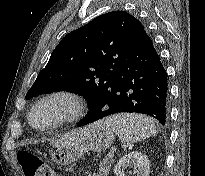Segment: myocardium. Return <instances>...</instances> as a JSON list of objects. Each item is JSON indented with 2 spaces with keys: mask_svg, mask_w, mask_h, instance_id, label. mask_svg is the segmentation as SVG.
<instances>
[{
  "mask_svg": "<svg viewBox=\"0 0 205 176\" xmlns=\"http://www.w3.org/2000/svg\"><path fill=\"white\" fill-rule=\"evenodd\" d=\"M52 102H59L64 105V110L58 116V118L49 125L40 126L34 123L33 116L35 112L42 106L52 103ZM84 114V103L82 98L75 92L70 90H55L49 92L39 98L35 104L33 105L32 109L28 115V121L30 125L37 129H44V128H56L67 123L75 122L79 120Z\"/></svg>",
  "mask_w": 205,
  "mask_h": 176,
  "instance_id": "obj_1",
  "label": "myocardium"
}]
</instances>
